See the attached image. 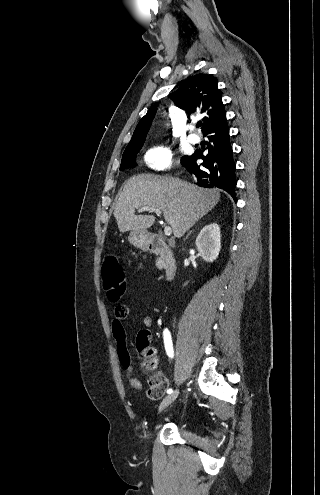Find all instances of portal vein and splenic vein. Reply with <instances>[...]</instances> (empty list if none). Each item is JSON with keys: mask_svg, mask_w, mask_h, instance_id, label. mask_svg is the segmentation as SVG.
Wrapping results in <instances>:
<instances>
[{"mask_svg": "<svg viewBox=\"0 0 320 495\" xmlns=\"http://www.w3.org/2000/svg\"><path fill=\"white\" fill-rule=\"evenodd\" d=\"M143 211H154L158 215L161 214V211L159 209L152 208V207H142V208L139 209V212H143ZM164 233H165L166 236H170L171 233H172L171 227L170 226H166L164 228Z\"/></svg>", "mask_w": 320, "mask_h": 495, "instance_id": "18ae733b", "label": "portal vein and splenic vein"}]
</instances>
